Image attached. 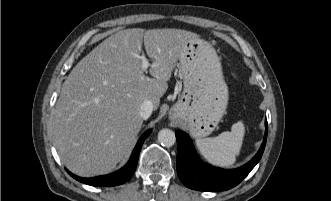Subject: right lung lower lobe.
I'll return each mask as SVG.
<instances>
[{"label":"right lung lower lobe","instance_id":"obj_1","mask_svg":"<svg viewBox=\"0 0 331 201\" xmlns=\"http://www.w3.org/2000/svg\"><path fill=\"white\" fill-rule=\"evenodd\" d=\"M150 133H151V131H147L140 138L136 147L133 150V153H132L131 158L128 161V163L122 169L118 170L117 172H114V173L108 174V175H104V176L94 177V178H82V177H78V176L72 174L68 170H67V172L74 179H76L82 183L92 185V186H116V185L123 184L126 181H128L132 177L133 173L135 172L142 144L144 143L145 139L149 136Z\"/></svg>","mask_w":331,"mask_h":201}]
</instances>
